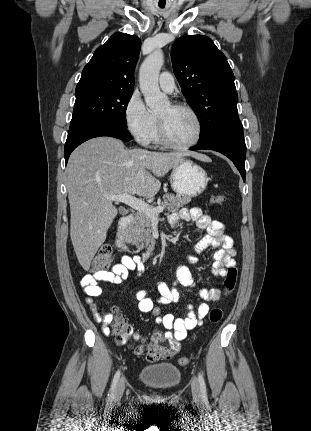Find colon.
Returning a JSON list of instances; mask_svg holds the SVG:
<instances>
[{
    "instance_id": "obj_1",
    "label": "colon",
    "mask_w": 311,
    "mask_h": 431,
    "mask_svg": "<svg viewBox=\"0 0 311 431\" xmlns=\"http://www.w3.org/2000/svg\"><path fill=\"white\" fill-rule=\"evenodd\" d=\"M224 201L225 198L218 194H214L210 198L211 204L221 205ZM112 256V247L109 244L102 245L92 260L91 269L94 272L104 271L110 265ZM236 281L237 268L231 266L227 270L224 281V287L228 293L234 289ZM98 312L101 320L109 324L112 334L116 337L120 345L130 346L132 340L138 339L132 327L117 313L114 307ZM222 316L223 312L220 308H213L209 312V320L214 324L218 323L222 319ZM131 348L136 354H145L149 361H157L160 359H169L174 356L179 350V345L170 338L159 336L153 338L149 343L144 345H131ZM189 362V357H182L179 359V364L182 366L187 365Z\"/></svg>"
}]
</instances>
